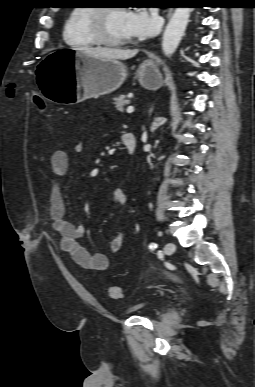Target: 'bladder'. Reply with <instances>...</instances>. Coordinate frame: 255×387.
<instances>
[{"label": "bladder", "instance_id": "31cf9c89", "mask_svg": "<svg viewBox=\"0 0 255 387\" xmlns=\"http://www.w3.org/2000/svg\"><path fill=\"white\" fill-rule=\"evenodd\" d=\"M159 309L158 304H151V303H139L131 306L128 309L129 314H135V315H142L147 316L149 314L155 313Z\"/></svg>", "mask_w": 255, "mask_h": 387}]
</instances>
